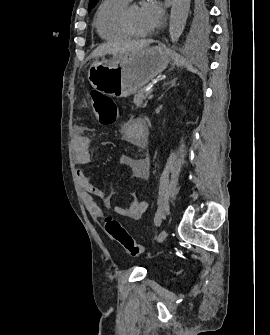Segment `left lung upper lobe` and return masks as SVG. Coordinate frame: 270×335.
<instances>
[{"instance_id": "left-lung-upper-lobe-1", "label": "left lung upper lobe", "mask_w": 270, "mask_h": 335, "mask_svg": "<svg viewBox=\"0 0 270 335\" xmlns=\"http://www.w3.org/2000/svg\"><path fill=\"white\" fill-rule=\"evenodd\" d=\"M98 0H90L88 11L95 7ZM206 0H190L189 15L194 29L198 32H204L207 29L208 7Z\"/></svg>"}]
</instances>
